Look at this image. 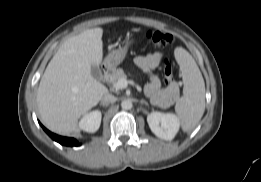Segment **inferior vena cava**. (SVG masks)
Wrapping results in <instances>:
<instances>
[{
	"label": "inferior vena cava",
	"mask_w": 261,
	"mask_h": 182,
	"mask_svg": "<svg viewBox=\"0 0 261 182\" xmlns=\"http://www.w3.org/2000/svg\"><path fill=\"white\" fill-rule=\"evenodd\" d=\"M116 100L117 98L110 93L103 95V97L101 98V102L107 105L110 103H114Z\"/></svg>",
	"instance_id": "602c4592"
}]
</instances>
